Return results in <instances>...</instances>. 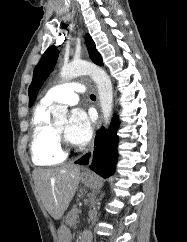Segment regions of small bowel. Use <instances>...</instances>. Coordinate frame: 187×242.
<instances>
[{"label":"small bowel","instance_id":"c3829d8e","mask_svg":"<svg viewBox=\"0 0 187 242\" xmlns=\"http://www.w3.org/2000/svg\"><path fill=\"white\" fill-rule=\"evenodd\" d=\"M86 234L90 235L88 232H85Z\"/></svg>","mask_w":187,"mask_h":242}]
</instances>
